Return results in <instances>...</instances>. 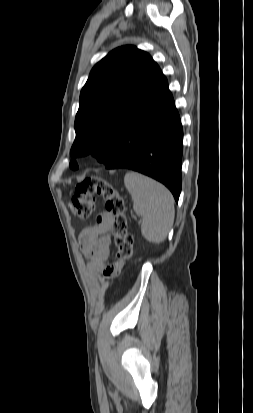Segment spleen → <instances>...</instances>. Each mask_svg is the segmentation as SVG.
<instances>
[{
	"instance_id": "spleen-1",
	"label": "spleen",
	"mask_w": 253,
	"mask_h": 413,
	"mask_svg": "<svg viewBox=\"0 0 253 413\" xmlns=\"http://www.w3.org/2000/svg\"><path fill=\"white\" fill-rule=\"evenodd\" d=\"M133 209L142 217L141 233L151 243L164 241L172 228L175 209L170 191L159 182L137 172L125 174Z\"/></svg>"
}]
</instances>
